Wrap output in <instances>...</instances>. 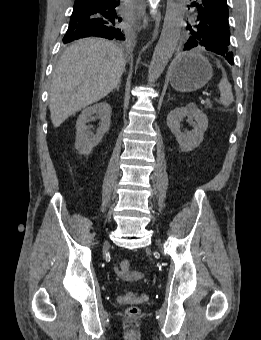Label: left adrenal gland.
Masks as SVG:
<instances>
[{
	"label": "left adrenal gland",
	"mask_w": 261,
	"mask_h": 340,
	"mask_svg": "<svg viewBox=\"0 0 261 340\" xmlns=\"http://www.w3.org/2000/svg\"><path fill=\"white\" fill-rule=\"evenodd\" d=\"M171 100L170 94H168V101Z\"/></svg>",
	"instance_id": "a2214340"
}]
</instances>
